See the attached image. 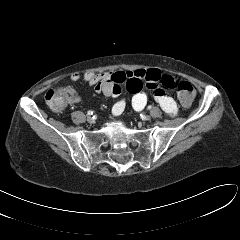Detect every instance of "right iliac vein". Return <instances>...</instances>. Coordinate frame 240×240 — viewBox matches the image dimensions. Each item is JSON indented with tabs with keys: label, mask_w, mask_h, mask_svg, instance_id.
I'll list each match as a JSON object with an SVG mask.
<instances>
[{
	"label": "right iliac vein",
	"mask_w": 240,
	"mask_h": 240,
	"mask_svg": "<svg viewBox=\"0 0 240 240\" xmlns=\"http://www.w3.org/2000/svg\"><path fill=\"white\" fill-rule=\"evenodd\" d=\"M87 121L89 122V123H93L94 122V119H93V117L92 116H88L87 117Z\"/></svg>",
	"instance_id": "1"
}]
</instances>
